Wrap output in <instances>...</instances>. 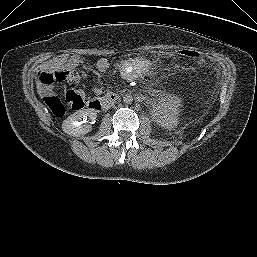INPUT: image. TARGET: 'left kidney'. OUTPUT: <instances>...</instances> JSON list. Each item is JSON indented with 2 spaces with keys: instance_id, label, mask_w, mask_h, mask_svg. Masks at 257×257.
Masks as SVG:
<instances>
[{
  "instance_id": "left-kidney-1",
  "label": "left kidney",
  "mask_w": 257,
  "mask_h": 257,
  "mask_svg": "<svg viewBox=\"0 0 257 257\" xmlns=\"http://www.w3.org/2000/svg\"><path fill=\"white\" fill-rule=\"evenodd\" d=\"M180 106L181 100L179 98L162 99L154 108L152 116L160 126L172 129L178 124Z\"/></svg>"
}]
</instances>
